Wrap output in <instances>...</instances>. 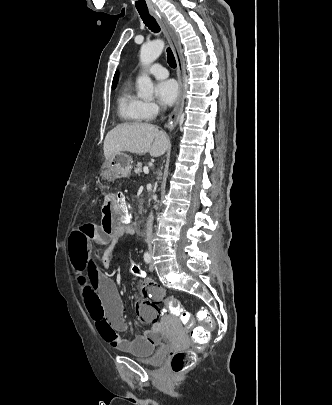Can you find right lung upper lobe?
<instances>
[{
	"mask_svg": "<svg viewBox=\"0 0 332 405\" xmlns=\"http://www.w3.org/2000/svg\"><path fill=\"white\" fill-rule=\"evenodd\" d=\"M117 82H118V71H116L114 75L112 86L117 85Z\"/></svg>",
	"mask_w": 332,
	"mask_h": 405,
	"instance_id": "1",
	"label": "right lung upper lobe"
}]
</instances>
